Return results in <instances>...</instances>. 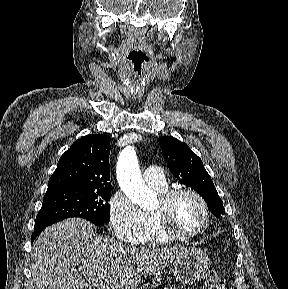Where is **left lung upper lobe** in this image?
Returning a JSON list of instances; mask_svg holds the SVG:
<instances>
[{"mask_svg":"<svg viewBox=\"0 0 288 289\" xmlns=\"http://www.w3.org/2000/svg\"><path fill=\"white\" fill-rule=\"evenodd\" d=\"M159 144L169 169L177 179L192 187L206 201L208 208L215 215L224 214L222 200L203 166L201 159L189 146L174 137H161Z\"/></svg>","mask_w":288,"mask_h":289,"instance_id":"5c2ea615","label":"left lung upper lobe"}]
</instances>
